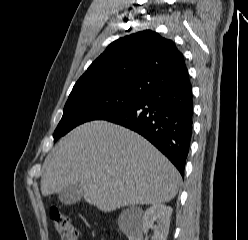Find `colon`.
<instances>
[{
  "mask_svg": "<svg viewBox=\"0 0 248 240\" xmlns=\"http://www.w3.org/2000/svg\"><path fill=\"white\" fill-rule=\"evenodd\" d=\"M50 219L59 233L62 240H77V230L67 217L57 206L49 209Z\"/></svg>",
  "mask_w": 248,
  "mask_h": 240,
  "instance_id": "1",
  "label": "colon"
}]
</instances>
